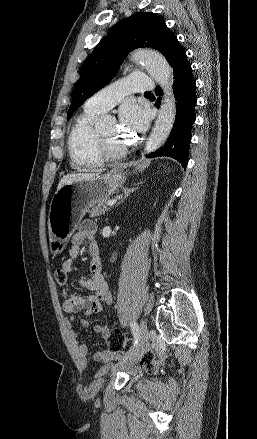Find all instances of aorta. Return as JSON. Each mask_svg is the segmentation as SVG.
Instances as JSON below:
<instances>
[{"label": "aorta", "mask_w": 257, "mask_h": 439, "mask_svg": "<svg viewBox=\"0 0 257 439\" xmlns=\"http://www.w3.org/2000/svg\"><path fill=\"white\" fill-rule=\"evenodd\" d=\"M132 59L144 65L149 75L163 89V98L151 135L146 143L145 151H156L167 140L172 130L176 106L172 96V69L165 57L151 49H140L132 54ZM111 120L109 116H103L96 122V128L102 129Z\"/></svg>", "instance_id": "obj_1"}]
</instances>
